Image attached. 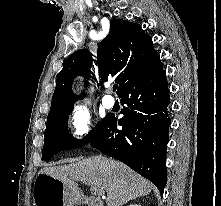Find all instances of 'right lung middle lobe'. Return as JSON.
Returning <instances> with one entry per match:
<instances>
[{"mask_svg":"<svg viewBox=\"0 0 221 206\" xmlns=\"http://www.w3.org/2000/svg\"><path fill=\"white\" fill-rule=\"evenodd\" d=\"M72 110L73 106H70L57 109L48 114L42 160L50 159L59 151L79 148L88 144L108 118L106 116L101 122H98L97 127L93 128L86 137L78 140L68 132V115Z\"/></svg>","mask_w":221,"mask_h":206,"instance_id":"obj_1","label":"right lung middle lobe"}]
</instances>
